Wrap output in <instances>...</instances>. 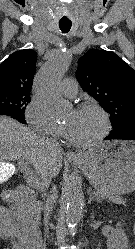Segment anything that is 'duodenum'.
Masks as SVG:
<instances>
[{"label": "duodenum", "instance_id": "1", "mask_svg": "<svg viewBox=\"0 0 135 249\" xmlns=\"http://www.w3.org/2000/svg\"><path fill=\"white\" fill-rule=\"evenodd\" d=\"M4 199L7 202L12 203L24 224V231L26 237V244L32 249H41L43 245V236L40 230H37L33 234V227L29 221V216L25 212L26 206L29 204L31 194L29 189L26 187H17L15 189H10L3 194ZM27 230L31 231V236H29Z\"/></svg>", "mask_w": 135, "mask_h": 249}]
</instances>
